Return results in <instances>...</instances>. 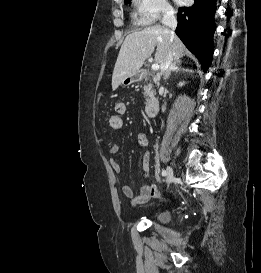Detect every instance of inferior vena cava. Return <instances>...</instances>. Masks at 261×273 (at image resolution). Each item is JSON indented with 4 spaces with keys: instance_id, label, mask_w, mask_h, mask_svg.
I'll list each match as a JSON object with an SVG mask.
<instances>
[{
    "instance_id": "obj_1",
    "label": "inferior vena cava",
    "mask_w": 261,
    "mask_h": 273,
    "mask_svg": "<svg viewBox=\"0 0 261 273\" xmlns=\"http://www.w3.org/2000/svg\"><path fill=\"white\" fill-rule=\"evenodd\" d=\"M162 24L170 28V33L174 35V30L177 27V19L172 9H166L163 15ZM174 54L172 50L168 52L165 64L162 68V73L165 77L166 73L174 66Z\"/></svg>"
}]
</instances>
